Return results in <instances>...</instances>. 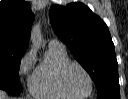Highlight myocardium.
<instances>
[{"mask_svg": "<svg viewBox=\"0 0 128 99\" xmlns=\"http://www.w3.org/2000/svg\"><path fill=\"white\" fill-rule=\"evenodd\" d=\"M73 66H76L79 69H81L89 81V90L85 95H81V96L74 95V94L70 93L65 86V83H64L65 73L70 67H73ZM57 81H58V85H59V88L61 89V91L63 93H65L67 96L74 98V99H85V98L89 97L93 92L94 83H93L92 76L89 73V71L82 64H80L78 62L69 61L66 64H64L58 72Z\"/></svg>", "mask_w": 128, "mask_h": 99, "instance_id": "f54148a6", "label": "myocardium"}]
</instances>
